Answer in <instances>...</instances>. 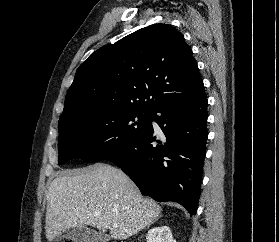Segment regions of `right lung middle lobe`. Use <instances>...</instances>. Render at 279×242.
Here are the masks:
<instances>
[{"mask_svg": "<svg viewBox=\"0 0 279 242\" xmlns=\"http://www.w3.org/2000/svg\"><path fill=\"white\" fill-rule=\"evenodd\" d=\"M152 113L127 110L92 118L72 119L58 125V163L78 157L95 162L119 153L141 138L150 127Z\"/></svg>", "mask_w": 279, "mask_h": 242, "instance_id": "obj_1", "label": "right lung middle lobe"}]
</instances>
